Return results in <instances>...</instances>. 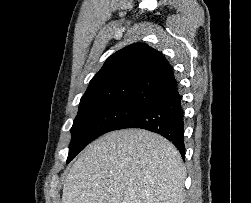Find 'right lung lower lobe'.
Listing matches in <instances>:
<instances>
[{
	"instance_id": "1",
	"label": "right lung lower lobe",
	"mask_w": 251,
	"mask_h": 203,
	"mask_svg": "<svg viewBox=\"0 0 251 203\" xmlns=\"http://www.w3.org/2000/svg\"><path fill=\"white\" fill-rule=\"evenodd\" d=\"M141 128L158 133L170 140L185 158L184 111L176 91L169 97L141 108L119 123L114 130Z\"/></svg>"
}]
</instances>
